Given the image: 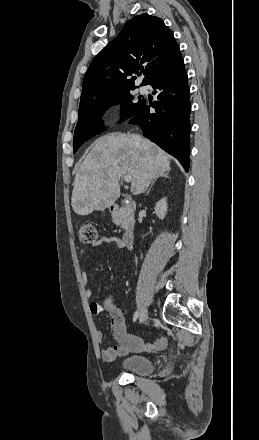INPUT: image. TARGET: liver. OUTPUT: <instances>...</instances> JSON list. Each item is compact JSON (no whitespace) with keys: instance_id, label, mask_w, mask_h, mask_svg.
<instances>
[{"instance_id":"obj_1","label":"liver","mask_w":259,"mask_h":440,"mask_svg":"<svg viewBox=\"0 0 259 440\" xmlns=\"http://www.w3.org/2000/svg\"><path fill=\"white\" fill-rule=\"evenodd\" d=\"M170 170V156L145 138L111 133L97 139L74 180L71 205L78 215L103 211L119 198V180L131 175L133 195L144 193L152 180Z\"/></svg>"}]
</instances>
